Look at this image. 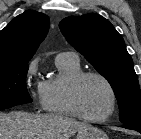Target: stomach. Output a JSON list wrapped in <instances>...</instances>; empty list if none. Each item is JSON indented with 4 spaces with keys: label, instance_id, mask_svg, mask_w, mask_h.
Returning <instances> with one entry per match:
<instances>
[{
    "label": "stomach",
    "instance_id": "obj_1",
    "mask_svg": "<svg viewBox=\"0 0 141 139\" xmlns=\"http://www.w3.org/2000/svg\"><path fill=\"white\" fill-rule=\"evenodd\" d=\"M76 139H108V137L98 128L88 126L78 131Z\"/></svg>",
    "mask_w": 141,
    "mask_h": 139
}]
</instances>
